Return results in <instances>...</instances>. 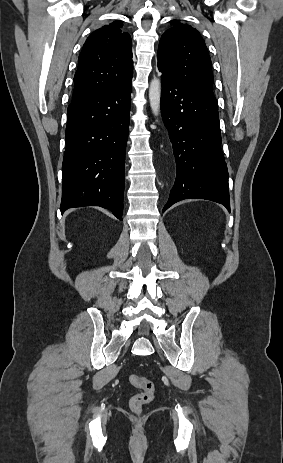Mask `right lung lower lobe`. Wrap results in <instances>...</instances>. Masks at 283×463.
<instances>
[{"label": "right lung lower lobe", "instance_id": "obj_1", "mask_svg": "<svg viewBox=\"0 0 283 463\" xmlns=\"http://www.w3.org/2000/svg\"><path fill=\"white\" fill-rule=\"evenodd\" d=\"M131 80L68 106L60 210L107 208L122 220Z\"/></svg>", "mask_w": 283, "mask_h": 463}]
</instances>
